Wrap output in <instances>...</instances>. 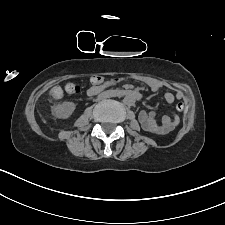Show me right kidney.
Masks as SVG:
<instances>
[{"instance_id": "obj_1", "label": "right kidney", "mask_w": 225, "mask_h": 225, "mask_svg": "<svg viewBox=\"0 0 225 225\" xmlns=\"http://www.w3.org/2000/svg\"><path fill=\"white\" fill-rule=\"evenodd\" d=\"M75 108L76 105L73 102H63L53 108L52 114L57 118L67 119L72 115Z\"/></svg>"}]
</instances>
